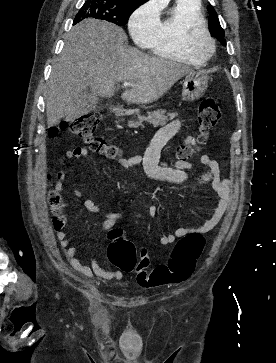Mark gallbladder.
Returning <instances> with one entry per match:
<instances>
[{
  "mask_svg": "<svg viewBox=\"0 0 276 363\" xmlns=\"http://www.w3.org/2000/svg\"><path fill=\"white\" fill-rule=\"evenodd\" d=\"M99 103V98L91 93L90 90H84L76 101L73 111L67 116L68 120H75L94 110Z\"/></svg>",
  "mask_w": 276,
  "mask_h": 363,
  "instance_id": "bac80fb5",
  "label": "gallbladder"
}]
</instances>
